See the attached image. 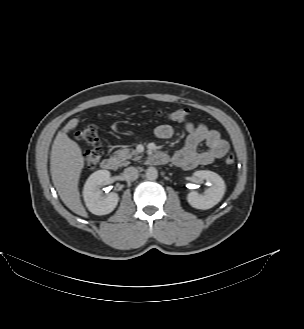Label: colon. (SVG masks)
Returning a JSON list of instances; mask_svg holds the SVG:
<instances>
[{
    "mask_svg": "<svg viewBox=\"0 0 304 329\" xmlns=\"http://www.w3.org/2000/svg\"><path fill=\"white\" fill-rule=\"evenodd\" d=\"M189 111L187 109H178L172 112L159 110L153 114L154 117L161 121H185L188 118ZM76 138L87 143L90 148L87 150L84 157V169H94L103 155V147L99 139L98 129L95 125H86L80 128L76 133ZM226 165L231 166L235 162V156L228 151L224 156Z\"/></svg>",
    "mask_w": 304,
    "mask_h": 329,
    "instance_id": "obj_1",
    "label": "colon"
}]
</instances>
